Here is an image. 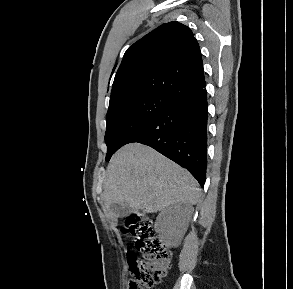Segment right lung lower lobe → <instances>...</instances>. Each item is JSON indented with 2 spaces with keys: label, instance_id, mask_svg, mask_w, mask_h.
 Returning a JSON list of instances; mask_svg holds the SVG:
<instances>
[{
  "label": "right lung lower lobe",
  "instance_id": "1",
  "mask_svg": "<svg viewBox=\"0 0 293 289\" xmlns=\"http://www.w3.org/2000/svg\"><path fill=\"white\" fill-rule=\"evenodd\" d=\"M207 93L173 102L136 132L128 143L148 145L185 167L203 187L207 167Z\"/></svg>",
  "mask_w": 293,
  "mask_h": 289
}]
</instances>
